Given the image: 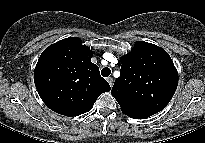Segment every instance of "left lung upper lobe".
I'll return each mask as SVG.
<instances>
[{"label": "left lung upper lobe", "mask_w": 205, "mask_h": 143, "mask_svg": "<svg viewBox=\"0 0 205 143\" xmlns=\"http://www.w3.org/2000/svg\"><path fill=\"white\" fill-rule=\"evenodd\" d=\"M120 77L111 94L126 115L155 114L172 99L178 73L169 54L162 48L137 41L121 59Z\"/></svg>", "instance_id": "obj_1"}]
</instances>
